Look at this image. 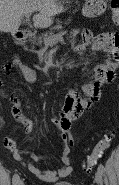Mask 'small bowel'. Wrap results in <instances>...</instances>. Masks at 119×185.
I'll return each mask as SVG.
<instances>
[{
    "label": "small bowel",
    "mask_w": 119,
    "mask_h": 185,
    "mask_svg": "<svg viewBox=\"0 0 119 185\" xmlns=\"http://www.w3.org/2000/svg\"><path fill=\"white\" fill-rule=\"evenodd\" d=\"M87 47H90L93 51L106 52L110 55V58L95 68L94 80L82 87L84 96H81L77 90H71L66 96L58 117L51 119V124L63 144L60 150V166L54 170L38 168L34 163L46 162L52 157V154L38 155L26 149L18 148L15 141L9 137L4 140L14 158L34 176L45 182H54L71 173L70 152L73 147L71 123L80 117L84 110L90 108L100 99L102 86L113 82L115 79V71L119 64V33L112 31L95 34L93 31L86 29L82 32V43L76 47V50L84 51ZM13 67L19 68L25 82L29 84L36 82V71L20 59L14 58L10 63L4 64L3 69L9 71ZM3 95L9 98L12 113L24 130L27 133L36 132L38 126L24 115L20 100L16 96H9L6 93H3Z\"/></svg>",
    "instance_id": "1"
}]
</instances>
